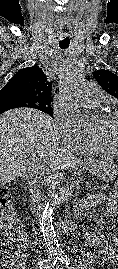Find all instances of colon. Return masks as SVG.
<instances>
[{
	"instance_id": "obj_1",
	"label": "colon",
	"mask_w": 118,
	"mask_h": 269,
	"mask_svg": "<svg viewBox=\"0 0 118 269\" xmlns=\"http://www.w3.org/2000/svg\"><path fill=\"white\" fill-rule=\"evenodd\" d=\"M0 220L5 222L0 256L5 261L6 269H18L21 251L27 246V241L22 235L21 221L14 212L11 193L4 187H0ZM13 247L18 250H10Z\"/></svg>"
}]
</instances>
